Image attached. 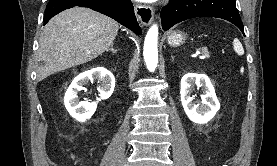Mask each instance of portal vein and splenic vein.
<instances>
[{
	"mask_svg": "<svg viewBox=\"0 0 277 166\" xmlns=\"http://www.w3.org/2000/svg\"><path fill=\"white\" fill-rule=\"evenodd\" d=\"M201 59L210 58L209 53H203L202 56H199Z\"/></svg>",
	"mask_w": 277,
	"mask_h": 166,
	"instance_id": "portal-vein-and-splenic-vein-1",
	"label": "portal vein and splenic vein"
}]
</instances>
